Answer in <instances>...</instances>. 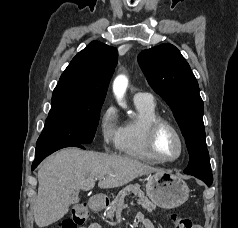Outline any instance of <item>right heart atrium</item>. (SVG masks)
I'll use <instances>...</instances> for the list:
<instances>
[{
	"instance_id": "obj_1",
	"label": "right heart atrium",
	"mask_w": 238,
	"mask_h": 228,
	"mask_svg": "<svg viewBox=\"0 0 238 228\" xmlns=\"http://www.w3.org/2000/svg\"><path fill=\"white\" fill-rule=\"evenodd\" d=\"M99 127L105 148H116L120 136V125L118 124V113L113 106H109L103 111Z\"/></svg>"
}]
</instances>
